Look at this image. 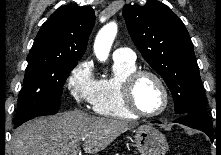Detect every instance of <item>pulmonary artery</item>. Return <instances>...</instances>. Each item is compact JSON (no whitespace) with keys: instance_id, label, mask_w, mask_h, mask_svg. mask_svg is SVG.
Listing matches in <instances>:
<instances>
[{"instance_id":"obj_1","label":"pulmonary artery","mask_w":221,"mask_h":155,"mask_svg":"<svg viewBox=\"0 0 221 155\" xmlns=\"http://www.w3.org/2000/svg\"><path fill=\"white\" fill-rule=\"evenodd\" d=\"M113 59L126 62H135L136 56L134 51L130 48L120 47L114 51Z\"/></svg>"}]
</instances>
